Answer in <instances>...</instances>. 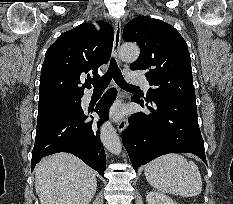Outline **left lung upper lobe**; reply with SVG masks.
<instances>
[{
	"instance_id": "1",
	"label": "left lung upper lobe",
	"mask_w": 233,
	"mask_h": 204,
	"mask_svg": "<svg viewBox=\"0 0 233 204\" xmlns=\"http://www.w3.org/2000/svg\"><path fill=\"white\" fill-rule=\"evenodd\" d=\"M123 40L140 47V55L130 68L145 70L147 80L154 86L145 101L160 96L195 99L189 51L173 26L138 16L124 28Z\"/></svg>"
}]
</instances>
